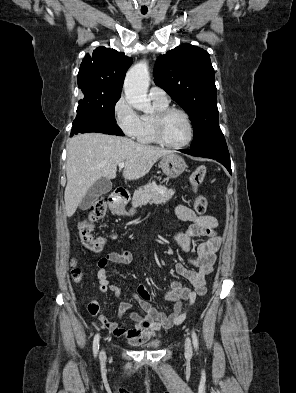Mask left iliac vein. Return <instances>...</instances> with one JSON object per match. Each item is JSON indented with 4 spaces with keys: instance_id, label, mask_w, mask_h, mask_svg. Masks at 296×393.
Wrapping results in <instances>:
<instances>
[{
    "instance_id": "4c4485c4",
    "label": "left iliac vein",
    "mask_w": 296,
    "mask_h": 393,
    "mask_svg": "<svg viewBox=\"0 0 296 393\" xmlns=\"http://www.w3.org/2000/svg\"><path fill=\"white\" fill-rule=\"evenodd\" d=\"M185 351L187 355L192 354V346H191V341L189 338L186 339L185 341Z\"/></svg>"
}]
</instances>
